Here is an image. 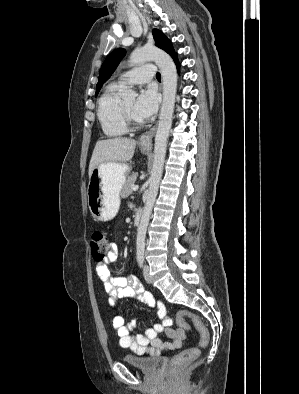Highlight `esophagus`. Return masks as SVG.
Masks as SVG:
<instances>
[{
	"instance_id": "34e87169",
	"label": "esophagus",
	"mask_w": 299,
	"mask_h": 394,
	"mask_svg": "<svg viewBox=\"0 0 299 394\" xmlns=\"http://www.w3.org/2000/svg\"><path fill=\"white\" fill-rule=\"evenodd\" d=\"M155 129H156V126H154L153 128H151L150 131L142 134L139 137V139H138L139 146H141L142 148H151L152 147V137L155 132Z\"/></svg>"
}]
</instances>
